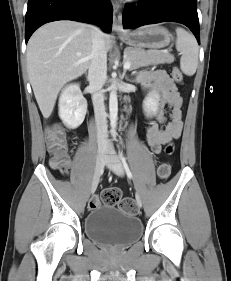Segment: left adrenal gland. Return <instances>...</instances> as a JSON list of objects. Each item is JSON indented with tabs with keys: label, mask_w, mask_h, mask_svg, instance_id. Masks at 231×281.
<instances>
[{
	"label": "left adrenal gland",
	"mask_w": 231,
	"mask_h": 281,
	"mask_svg": "<svg viewBox=\"0 0 231 281\" xmlns=\"http://www.w3.org/2000/svg\"><path fill=\"white\" fill-rule=\"evenodd\" d=\"M126 80H127V81H131V80H130V79H128L127 77H126Z\"/></svg>",
	"instance_id": "a2214340"
}]
</instances>
